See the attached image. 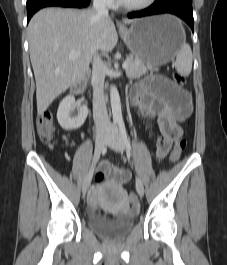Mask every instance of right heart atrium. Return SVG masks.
I'll list each match as a JSON object with an SVG mask.
<instances>
[{
	"mask_svg": "<svg viewBox=\"0 0 227 265\" xmlns=\"http://www.w3.org/2000/svg\"><path fill=\"white\" fill-rule=\"evenodd\" d=\"M98 1L105 6H111L114 3V0H98Z\"/></svg>",
	"mask_w": 227,
	"mask_h": 265,
	"instance_id": "right-heart-atrium-1",
	"label": "right heart atrium"
}]
</instances>
